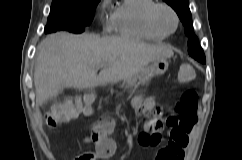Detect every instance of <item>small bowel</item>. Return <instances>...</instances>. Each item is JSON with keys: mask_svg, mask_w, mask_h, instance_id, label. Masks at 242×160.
Instances as JSON below:
<instances>
[{"mask_svg": "<svg viewBox=\"0 0 242 160\" xmlns=\"http://www.w3.org/2000/svg\"><path fill=\"white\" fill-rule=\"evenodd\" d=\"M146 104L148 103H145L141 106L140 110L142 112L144 111L143 108ZM84 113L86 115H90L92 111L90 108H88L84 111ZM176 129L179 128H171L169 139L166 141L165 145L157 151L154 160H184L185 150L189 143V131L181 130L183 133L184 141L183 143H180L178 140L171 136V132ZM111 130L112 124L108 122L98 124L94 130L92 141L95 145L97 155L102 158L113 155L116 150L115 142L109 137ZM103 153H106V155H102ZM77 158L75 160H77Z\"/></svg>", "mask_w": 242, "mask_h": 160, "instance_id": "1", "label": "small bowel"}]
</instances>
